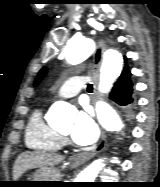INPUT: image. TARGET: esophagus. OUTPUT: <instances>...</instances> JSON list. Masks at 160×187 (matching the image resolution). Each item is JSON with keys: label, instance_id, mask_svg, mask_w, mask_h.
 <instances>
[{"label": "esophagus", "instance_id": "obj_1", "mask_svg": "<svg viewBox=\"0 0 160 187\" xmlns=\"http://www.w3.org/2000/svg\"><path fill=\"white\" fill-rule=\"evenodd\" d=\"M104 51H105V44L103 41L100 40L97 44V47H96V51H95L94 59H93L92 70H91L94 79H96V77H97L98 68L102 62ZM106 143H107L106 137L103 133L101 136V139L97 145L93 146L92 148H90L89 150H87L85 152H82V153H79L78 155H76L74 158V161L76 163L87 162L92 157H94L96 154L103 151L106 147Z\"/></svg>", "mask_w": 160, "mask_h": 187}]
</instances>
